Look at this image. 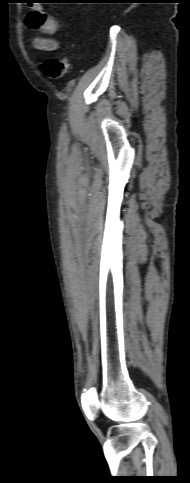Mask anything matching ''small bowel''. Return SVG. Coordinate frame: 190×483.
<instances>
[{
    "label": "small bowel",
    "mask_w": 190,
    "mask_h": 483,
    "mask_svg": "<svg viewBox=\"0 0 190 483\" xmlns=\"http://www.w3.org/2000/svg\"><path fill=\"white\" fill-rule=\"evenodd\" d=\"M26 22L29 28L39 30L49 36L54 35L58 29L54 18L41 11L29 12ZM33 46L40 51L52 52L58 48V42L51 37H36L33 40Z\"/></svg>",
    "instance_id": "small-bowel-1"
}]
</instances>
